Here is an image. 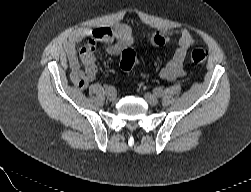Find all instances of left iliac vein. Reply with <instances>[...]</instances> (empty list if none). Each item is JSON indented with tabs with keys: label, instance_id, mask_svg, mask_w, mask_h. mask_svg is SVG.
<instances>
[{
	"label": "left iliac vein",
	"instance_id": "obj_1",
	"mask_svg": "<svg viewBox=\"0 0 251 192\" xmlns=\"http://www.w3.org/2000/svg\"><path fill=\"white\" fill-rule=\"evenodd\" d=\"M144 98L152 106L157 105L159 102L158 98L154 94H151V93H145Z\"/></svg>",
	"mask_w": 251,
	"mask_h": 192
}]
</instances>
